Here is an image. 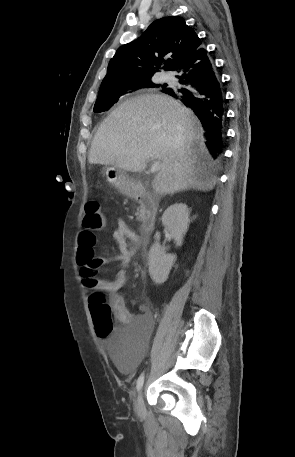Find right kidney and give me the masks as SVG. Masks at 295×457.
Here are the masks:
<instances>
[{"instance_id":"1","label":"right kidney","mask_w":295,"mask_h":457,"mask_svg":"<svg viewBox=\"0 0 295 457\" xmlns=\"http://www.w3.org/2000/svg\"><path fill=\"white\" fill-rule=\"evenodd\" d=\"M162 223L174 238L176 245L181 246L190 223L187 205L175 203L169 206L162 216ZM159 240L160 233L157 232L155 243L148 256L149 274L156 284H162L168 279L170 270L176 261V255L166 254Z\"/></svg>"}]
</instances>
